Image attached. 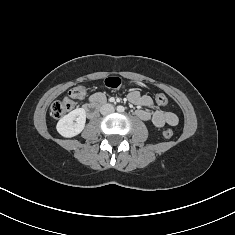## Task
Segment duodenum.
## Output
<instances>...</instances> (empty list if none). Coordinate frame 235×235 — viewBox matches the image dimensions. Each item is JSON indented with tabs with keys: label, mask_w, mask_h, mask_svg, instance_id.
Returning a JSON list of instances; mask_svg holds the SVG:
<instances>
[{
	"label": "duodenum",
	"mask_w": 235,
	"mask_h": 235,
	"mask_svg": "<svg viewBox=\"0 0 235 235\" xmlns=\"http://www.w3.org/2000/svg\"><path fill=\"white\" fill-rule=\"evenodd\" d=\"M103 106L102 103H91L85 108V112L89 118H93L98 113L99 109Z\"/></svg>",
	"instance_id": "1"
}]
</instances>
